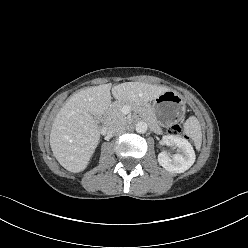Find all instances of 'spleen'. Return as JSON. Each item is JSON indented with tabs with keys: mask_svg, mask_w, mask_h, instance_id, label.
I'll use <instances>...</instances> for the list:
<instances>
[{
	"mask_svg": "<svg viewBox=\"0 0 248 248\" xmlns=\"http://www.w3.org/2000/svg\"><path fill=\"white\" fill-rule=\"evenodd\" d=\"M185 133L192 138L197 147L201 146L202 132L198 119L195 116L189 117L184 123Z\"/></svg>",
	"mask_w": 248,
	"mask_h": 248,
	"instance_id": "3e777b00",
	"label": "spleen"
}]
</instances>
